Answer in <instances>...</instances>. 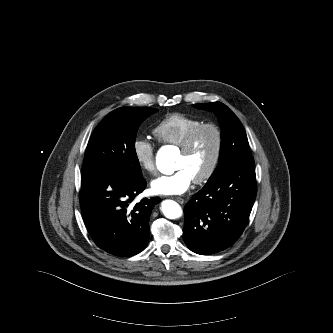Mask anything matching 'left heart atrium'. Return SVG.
<instances>
[{
	"label": "left heart atrium",
	"instance_id": "1",
	"mask_svg": "<svg viewBox=\"0 0 333 333\" xmlns=\"http://www.w3.org/2000/svg\"><path fill=\"white\" fill-rule=\"evenodd\" d=\"M193 178L184 168L169 175H162L151 182V190L157 195H180L191 186Z\"/></svg>",
	"mask_w": 333,
	"mask_h": 333
}]
</instances>
